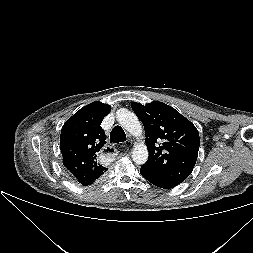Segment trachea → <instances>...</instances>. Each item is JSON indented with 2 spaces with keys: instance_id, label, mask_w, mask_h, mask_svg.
<instances>
[{
  "instance_id": "trachea-1",
  "label": "trachea",
  "mask_w": 253,
  "mask_h": 253,
  "mask_svg": "<svg viewBox=\"0 0 253 253\" xmlns=\"http://www.w3.org/2000/svg\"><path fill=\"white\" fill-rule=\"evenodd\" d=\"M126 141V134L120 126H115L110 133V142L119 143Z\"/></svg>"
}]
</instances>
